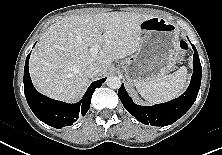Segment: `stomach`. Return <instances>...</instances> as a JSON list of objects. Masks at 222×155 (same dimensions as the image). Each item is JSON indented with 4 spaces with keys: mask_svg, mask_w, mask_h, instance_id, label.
I'll use <instances>...</instances> for the list:
<instances>
[{
    "mask_svg": "<svg viewBox=\"0 0 222 155\" xmlns=\"http://www.w3.org/2000/svg\"><path fill=\"white\" fill-rule=\"evenodd\" d=\"M140 30V49L121 63L132 85L163 77L176 64L180 54L179 31L175 24L153 16L140 24Z\"/></svg>",
    "mask_w": 222,
    "mask_h": 155,
    "instance_id": "1",
    "label": "stomach"
}]
</instances>
